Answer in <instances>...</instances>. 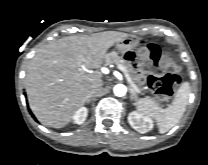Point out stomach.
Masks as SVG:
<instances>
[{"label": "stomach", "mask_w": 208, "mask_h": 165, "mask_svg": "<svg viewBox=\"0 0 208 165\" xmlns=\"http://www.w3.org/2000/svg\"><path fill=\"white\" fill-rule=\"evenodd\" d=\"M139 44V40L135 38L127 37L119 42H117L116 47L122 53L135 49Z\"/></svg>", "instance_id": "0dacf381"}]
</instances>
